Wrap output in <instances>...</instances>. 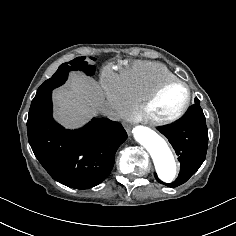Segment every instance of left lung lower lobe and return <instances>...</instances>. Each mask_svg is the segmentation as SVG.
Masks as SVG:
<instances>
[{
  "label": "left lung lower lobe",
  "mask_w": 236,
  "mask_h": 236,
  "mask_svg": "<svg viewBox=\"0 0 236 236\" xmlns=\"http://www.w3.org/2000/svg\"><path fill=\"white\" fill-rule=\"evenodd\" d=\"M158 130L168 138L180 161V173L173 183H163L177 187L185 183L202 165L208 146V129L200 101L189 107L186 114L177 123Z\"/></svg>",
  "instance_id": "0a47b994"
}]
</instances>
